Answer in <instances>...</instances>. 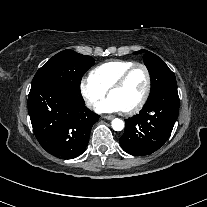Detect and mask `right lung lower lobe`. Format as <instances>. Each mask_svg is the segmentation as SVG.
<instances>
[{
	"label": "right lung lower lobe",
	"instance_id": "right-lung-lower-lobe-1",
	"mask_svg": "<svg viewBox=\"0 0 207 207\" xmlns=\"http://www.w3.org/2000/svg\"><path fill=\"white\" fill-rule=\"evenodd\" d=\"M28 112L40 145L63 159L85 151L91 128L100 117L85 106L81 94L56 84L31 87Z\"/></svg>",
	"mask_w": 207,
	"mask_h": 207
}]
</instances>
